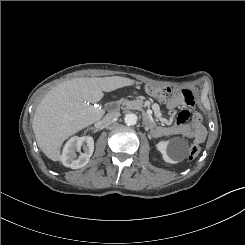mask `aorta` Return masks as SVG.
Returning <instances> with one entry per match:
<instances>
[{
    "label": "aorta",
    "instance_id": "1",
    "mask_svg": "<svg viewBox=\"0 0 245 245\" xmlns=\"http://www.w3.org/2000/svg\"><path fill=\"white\" fill-rule=\"evenodd\" d=\"M137 119L138 118H137L136 114L129 113V114L125 115L124 122L127 125H135L137 123Z\"/></svg>",
    "mask_w": 245,
    "mask_h": 245
}]
</instances>
